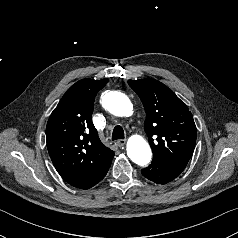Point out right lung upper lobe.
Segmentation results:
<instances>
[{
    "label": "right lung upper lobe",
    "mask_w": 238,
    "mask_h": 238,
    "mask_svg": "<svg viewBox=\"0 0 238 238\" xmlns=\"http://www.w3.org/2000/svg\"><path fill=\"white\" fill-rule=\"evenodd\" d=\"M108 79H82L72 85L46 126L47 149L60 176L74 187L111 165L114 152L102 144L92 123L94 99Z\"/></svg>",
    "instance_id": "right-lung-upper-lobe-1"
}]
</instances>
